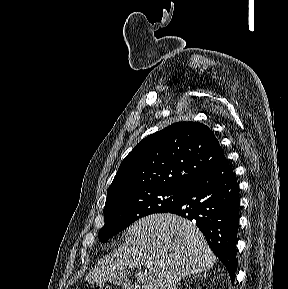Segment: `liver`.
<instances>
[{"label":"liver","mask_w":288,"mask_h":289,"mask_svg":"<svg viewBox=\"0 0 288 289\" xmlns=\"http://www.w3.org/2000/svg\"><path fill=\"white\" fill-rule=\"evenodd\" d=\"M216 257L193 222L153 214L133 223L125 243L98 261L85 280L104 285L125 269L143 266L134 289H174L182 278L209 270Z\"/></svg>","instance_id":"6515ba94"}]
</instances>
